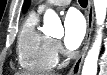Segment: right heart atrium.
<instances>
[{
  "instance_id": "obj_1",
  "label": "right heart atrium",
  "mask_w": 107,
  "mask_h": 75,
  "mask_svg": "<svg viewBox=\"0 0 107 75\" xmlns=\"http://www.w3.org/2000/svg\"><path fill=\"white\" fill-rule=\"evenodd\" d=\"M53 48L57 56L62 53V47L58 41H53Z\"/></svg>"
}]
</instances>
